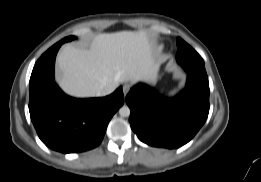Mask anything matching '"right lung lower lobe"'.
I'll list each match as a JSON object with an SVG mask.
<instances>
[{
	"mask_svg": "<svg viewBox=\"0 0 261 182\" xmlns=\"http://www.w3.org/2000/svg\"><path fill=\"white\" fill-rule=\"evenodd\" d=\"M63 43L49 48L36 62L29 85V111L39 138L49 148L83 152L98 146L114 113L123 105L119 87L103 98L75 99L54 81L55 57Z\"/></svg>",
	"mask_w": 261,
	"mask_h": 182,
	"instance_id": "right-lung-lower-lobe-1",
	"label": "right lung lower lobe"
}]
</instances>
